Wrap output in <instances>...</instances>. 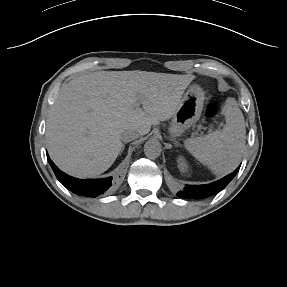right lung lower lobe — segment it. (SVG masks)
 <instances>
[{
  "label": "right lung lower lobe",
  "instance_id": "98d812e1",
  "mask_svg": "<svg viewBox=\"0 0 287 287\" xmlns=\"http://www.w3.org/2000/svg\"><path fill=\"white\" fill-rule=\"evenodd\" d=\"M49 163L51 164L58 180L66 188L76 194L95 198L100 195L109 194L113 188L112 177L88 180L76 179L61 172L50 159Z\"/></svg>",
  "mask_w": 287,
  "mask_h": 287
}]
</instances>
